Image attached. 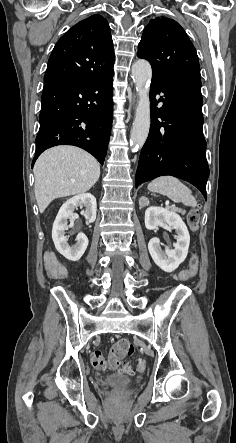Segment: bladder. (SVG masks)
I'll return each instance as SVG.
<instances>
[{"label":"bladder","mask_w":236,"mask_h":443,"mask_svg":"<svg viewBox=\"0 0 236 443\" xmlns=\"http://www.w3.org/2000/svg\"><path fill=\"white\" fill-rule=\"evenodd\" d=\"M118 378H121V376H110L109 378H107V381H113ZM127 380H129V379H127Z\"/></svg>","instance_id":"1"}]
</instances>
